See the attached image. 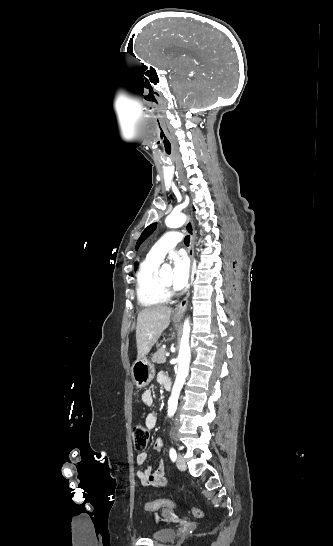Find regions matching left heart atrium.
I'll list each match as a JSON object with an SVG mask.
<instances>
[{"instance_id": "1", "label": "left heart atrium", "mask_w": 333, "mask_h": 546, "mask_svg": "<svg viewBox=\"0 0 333 546\" xmlns=\"http://www.w3.org/2000/svg\"><path fill=\"white\" fill-rule=\"evenodd\" d=\"M173 262V279L172 285L176 290L183 289L188 281L189 262L184 255L175 254L172 257Z\"/></svg>"}]
</instances>
